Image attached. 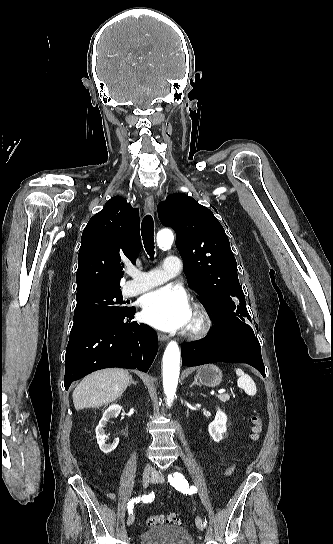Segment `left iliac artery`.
I'll return each instance as SVG.
<instances>
[{"instance_id": "1", "label": "left iliac artery", "mask_w": 333, "mask_h": 544, "mask_svg": "<svg viewBox=\"0 0 333 544\" xmlns=\"http://www.w3.org/2000/svg\"><path fill=\"white\" fill-rule=\"evenodd\" d=\"M169 483L176 488L177 490L183 492V493H196L197 488L195 486H189L188 481L185 479V477L179 473L175 472L173 475L168 476ZM207 521L205 519L204 526H206Z\"/></svg>"}]
</instances>
